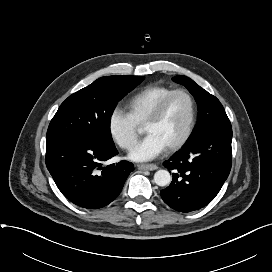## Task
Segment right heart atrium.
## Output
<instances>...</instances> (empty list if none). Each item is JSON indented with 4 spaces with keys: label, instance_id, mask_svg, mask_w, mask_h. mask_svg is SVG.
Wrapping results in <instances>:
<instances>
[{
    "label": "right heart atrium",
    "instance_id": "obj_1",
    "mask_svg": "<svg viewBox=\"0 0 272 272\" xmlns=\"http://www.w3.org/2000/svg\"><path fill=\"white\" fill-rule=\"evenodd\" d=\"M108 132L120 148L130 150L138 138V125L128 113L116 108L109 115Z\"/></svg>",
    "mask_w": 272,
    "mask_h": 272
}]
</instances>
